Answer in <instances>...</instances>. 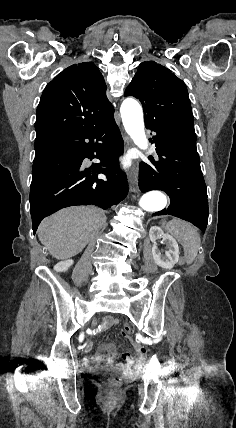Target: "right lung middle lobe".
<instances>
[{
    "mask_svg": "<svg viewBox=\"0 0 236 428\" xmlns=\"http://www.w3.org/2000/svg\"><path fill=\"white\" fill-rule=\"evenodd\" d=\"M45 146V143H35V151L42 149Z\"/></svg>",
    "mask_w": 236,
    "mask_h": 428,
    "instance_id": "1",
    "label": "right lung middle lobe"
}]
</instances>
